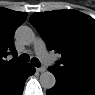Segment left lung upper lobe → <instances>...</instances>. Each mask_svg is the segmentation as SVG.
<instances>
[{
  "label": "left lung upper lobe",
  "instance_id": "obj_1",
  "mask_svg": "<svg viewBox=\"0 0 95 95\" xmlns=\"http://www.w3.org/2000/svg\"><path fill=\"white\" fill-rule=\"evenodd\" d=\"M29 22L37 29L48 50L61 54L48 70L95 81V20L75 10L38 12Z\"/></svg>",
  "mask_w": 95,
  "mask_h": 95
}]
</instances>
